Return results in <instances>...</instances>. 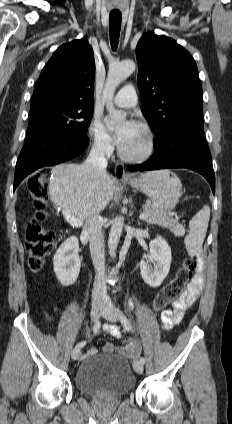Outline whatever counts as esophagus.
I'll list each match as a JSON object with an SVG mask.
<instances>
[{"label": "esophagus", "instance_id": "obj_1", "mask_svg": "<svg viewBox=\"0 0 232 424\" xmlns=\"http://www.w3.org/2000/svg\"><path fill=\"white\" fill-rule=\"evenodd\" d=\"M115 177L117 179H130V176L126 173L124 165L121 163H117L115 166Z\"/></svg>", "mask_w": 232, "mask_h": 424}]
</instances>
